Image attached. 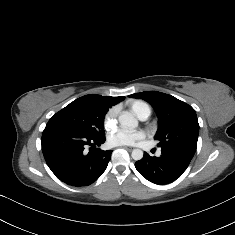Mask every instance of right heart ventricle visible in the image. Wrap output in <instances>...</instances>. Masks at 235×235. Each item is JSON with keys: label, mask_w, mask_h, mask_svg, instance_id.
I'll list each match as a JSON object with an SVG mask.
<instances>
[{"label": "right heart ventricle", "mask_w": 235, "mask_h": 235, "mask_svg": "<svg viewBox=\"0 0 235 235\" xmlns=\"http://www.w3.org/2000/svg\"><path fill=\"white\" fill-rule=\"evenodd\" d=\"M147 104L143 103V102H140V101H137L135 102L133 105H132V109L133 111L137 114L139 109L143 106H145ZM148 106V105H147Z\"/></svg>", "instance_id": "right-heart-ventricle-1"}]
</instances>
